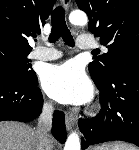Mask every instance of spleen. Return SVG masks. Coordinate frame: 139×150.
Instances as JSON below:
<instances>
[{"instance_id": "3e777b00", "label": "spleen", "mask_w": 139, "mask_h": 150, "mask_svg": "<svg viewBox=\"0 0 139 150\" xmlns=\"http://www.w3.org/2000/svg\"><path fill=\"white\" fill-rule=\"evenodd\" d=\"M111 150H136L133 146L121 143V142H116L110 145Z\"/></svg>"}]
</instances>
